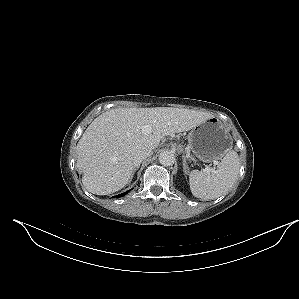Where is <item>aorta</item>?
I'll list each match as a JSON object with an SVG mask.
<instances>
[{
  "instance_id": "762f6f07",
  "label": "aorta",
  "mask_w": 299,
  "mask_h": 299,
  "mask_svg": "<svg viewBox=\"0 0 299 299\" xmlns=\"http://www.w3.org/2000/svg\"><path fill=\"white\" fill-rule=\"evenodd\" d=\"M159 162L163 166H171L175 162V155L171 151H164L159 155Z\"/></svg>"
}]
</instances>
